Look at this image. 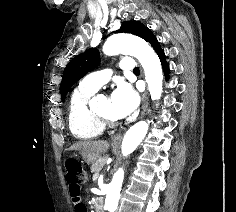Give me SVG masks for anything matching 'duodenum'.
Instances as JSON below:
<instances>
[{
    "instance_id": "duodenum-1",
    "label": "duodenum",
    "mask_w": 236,
    "mask_h": 212,
    "mask_svg": "<svg viewBox=\"0 0 236 212\" xmlns=\"http://www.w3.org/2000/svg\"><path fill=\"white\" fill-rule=\"evenodd\" d=\"M94 205H95V212H103V201L101 198L96 197Z\"/></svg>"
}]
</instances>
